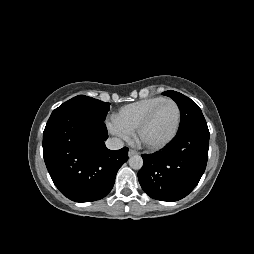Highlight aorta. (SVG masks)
<instances>
[{
    "mask_svg": "<svg viewBox=\"0 0 254 254\" xmlns=\"http://www.w3.org/2000/svg\"><path fill=\"white\" fill-rule=\"evenodd\" d=\"M128 162H129V166L135 170H140L143 166V159L139 155L131 156Z\"/></svg>",
    "mask_w": 254,
    "mask_h": 254,
    "instance_id": "obj_1",
    "label": "aorta"
}]
</instances>
